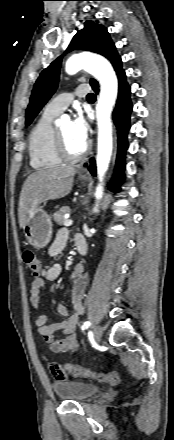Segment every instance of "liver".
<instances>
[{
  "instance_id": "obj_1",
  "label": "liver",
  "mask_w": 174,
  "mask_h": 440,
  "mask_svg": "<svg viewBox=\"0 0 174 440\" xmlns=\"http://www.w3.org/2000/svg\"><path fill=\"white\" fill-rule=\"evenodd\" d=\"M74 175L73 167L42 168L30 174L19 197L20 227L24 228L41 203L68 195L73 187Z\"/></svg>"
}]
</instances>
